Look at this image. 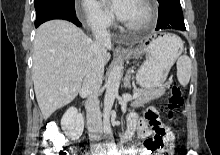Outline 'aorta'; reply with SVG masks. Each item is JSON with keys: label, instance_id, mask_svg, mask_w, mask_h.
Returning <instances> with one entry per match:
<instances>
[{"label": "aorta", "instance_id": "762f6f07", "mask_svg": "<svg viewBox=\"0 0 220 155\" xmlns=\"http://www.w3.org/2000/svg\"><path fill=\"white\" fill-rule=\"evenodd\" d=\"M121 77H122L121 67L116 66L111 70L106 82V92L104 98L103 129L104 132L108 134L112 132L110 125V112L112 110L114 100L118 95V89L120 86Z\"/></svg>", "mask_w": 220, "mask_h": 155}]
</instances>
